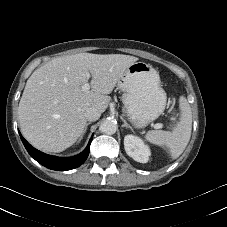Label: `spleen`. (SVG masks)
Returning a JSON list of instances; mask_svg holds the SVG:
<instances>
[{
  "label": "spleen",
  "instance_id": "1",
  "mask_svg": "<svg viewBox=\"0 0 227 227\" xmlns=\"http://www.w3.org/2000/svg\"><path fill=\"white\" fill-rule=\"evenodd\" d=\"M180 120L172 132L151 130L145 135V139L151 144L166 146L172 159L178 158L185 150L191 136L192 112L187 99L179 98Z\"/></svg>",
  "mask_w": 227,
  "mask_h": 227
}]
</instances>
